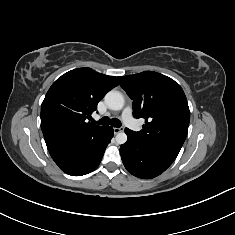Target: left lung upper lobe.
Instances as JSON below:
<instances>
[{
  "label": "left lung upper lobe",
  "instance_id": "left-lung-upper-lobe-1",
  "mask_svg": "<svg viewBox=\"0 0 235 235\" xmlns=\"http://www.w3.org/2000/svg\"><path fill=\"white\" fill-rule=\"evenodd\" d=\"M121 87L133 100V115L144 118L142 141L178 155L188 132L190 111L181 86L160 73L119 76ZM127 129V128H126Z\"/></svg>",
  "mask_w": 235,
  "mask_h": 235
}]
</instances>
